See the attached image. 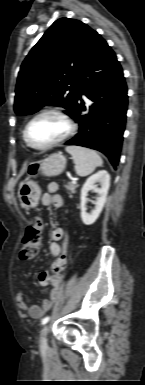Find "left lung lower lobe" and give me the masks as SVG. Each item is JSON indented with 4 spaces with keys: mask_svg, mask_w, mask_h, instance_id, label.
Here are the masks:
<instances>
[{
    "mask_svg": "<svg viewBox=\"0 0 145 385\" xmlns=\"http://www.w3.org/2000/svg\"><path fill=\"white\" fill-rule=\"evenodd\" d=\"M82 94L93 101L88 109L81 100ZM127 104V86L120 63L111 47L96 33L80 75L78 105L72 117L79 124V132L65 144L98 150L117 166Z\"/></svg>",
    "mask_w": 145,
    "mask_h": 385,
    "instance_id": "0a47b994",
    "label": "left lung lower lobe"
}]
</instances>
